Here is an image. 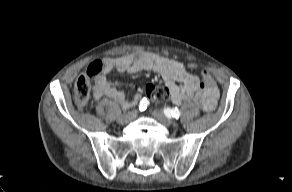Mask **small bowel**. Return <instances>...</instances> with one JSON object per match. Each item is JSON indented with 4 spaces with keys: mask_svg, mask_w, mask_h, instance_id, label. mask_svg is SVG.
Segmentation results:
<instances>
[{
    "mask_svg": "<svg viewBox=\"0 0 292 192\" xmlns=\"http://www.w3.org/2000/svg\"><path fill=\"white\" fill-rule=\"evenodd\" d=\"M105 64L104 73L93 85L96 100L106 96L123 108L134 106L140 95L135 94L131 99H127L118 89V82L112 79V74L114 71L127 74L151 71L162 77L173 104L180 105L184 101L195 100L205 111H212L217 105L219 90L208 71H202L200 79L182 62L147 51H136L115 59H107Z\"/></svg>",
    "mask_w": 292,
    "mask_h": 192,
    "instance_id": "c3829d8e",
    "label": "small bowel"
}]
</instances>
